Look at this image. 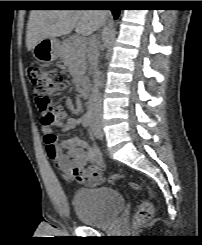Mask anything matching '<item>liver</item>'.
I'll use <instances>...</instances> for the list:
<instances>
[{"label": "liver", "instance_id": "liver-1", "mask_svg": "<svg viewBox=\"0 0 202 245\" xmlns=\"http://www.w3.org/2000/svg\"><path fill=\"white\" fill-rule=\"evenodd\" d=\"M107 12L95 10H32L27 23L26 46L31 51L44 38L69 34L73 29L88 36L100 28Z\"/></svg>", "mask_w": 202, "mask_h": 245}]
</instances>
